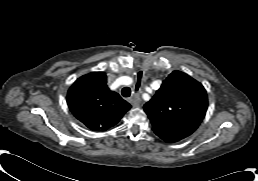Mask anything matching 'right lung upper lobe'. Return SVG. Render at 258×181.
Masks as SVG:
<instances>
[{
  "label": "right lung upper lobe",
  "mask_w": 258,
  "mask_h": 181,
  "mask_svg": "<svg viewBox=\"0 0 258 181\" xmlns=\"http://www.w3.org/2000/svg\"><path fill=\"white\" fill-rule=\"evenodd\" d=\"M67 103L73 115L94 131L114 126L131 108L107 87L104 72H92L77 79L68 91Z\"/></svg>",
  "instance_id": "cb5924a9"
}]
</instances>
